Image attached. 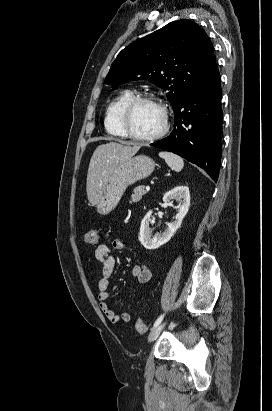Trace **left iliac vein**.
Here are the masks:
<instances>
[{
	"label": "left iliac vein",
	"instance_id": "4c4485c4",
	"mask_svg": "<svg viewBox=\"0 0 272 411\" xmlns=\"http://www.w3.org/2000/svg\"><path fill=\"white\" fill-rule=\"evenodd\" d=\"M166 322L159 324L158 326L154 327L151 332L148 335V341L152 342L154 341L159 334L161 333V331L163 330L164 326H165Z\"/></svg>",
	"mask_w": 272,
	"mask_h": 411
}]
</instances>
